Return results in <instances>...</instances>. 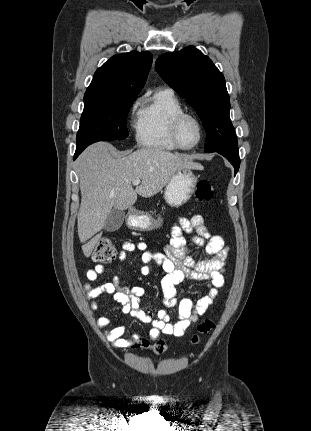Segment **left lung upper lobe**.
<instances>
[{
    "label": "left lung upper lobe",
    "instance_id": "5c2ea615",
    "mask_svg": "<svg viewBox=\"0 0 311 431\" xmlns=\"http://www.w3.org/2000/svg\"><path fill=\"white\" fill-rule=\"evenodd\" d=\"M156 68L199 115L207 133L205 152L238 150L229 117L230 99L223 74L193 46L161 55Z\"/></svg>",
    "mask_w": 311,
    "mask_h": 431
}]
</instances>
